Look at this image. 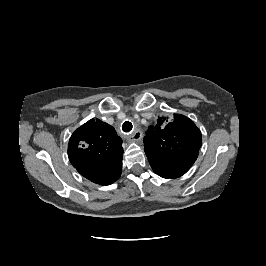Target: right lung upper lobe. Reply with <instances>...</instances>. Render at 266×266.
Returning <instances> with one entry per match:
<instances>
[{"instance_id": "obj_1", "label": "right lung upper lobe", "mask_w": 266, "mask_h": 266, "mask_svg": "<svg viewBox=\"0 0 266 266\" xmlns=\"http://www.w3.org/2000/svg\"><path fill=\"white\" fill-rule=\"evenodd\" d=\"M68 157L83 177L96 184L109 185L121 175L122 139L111 125L91 119L72 134Z\"/></svg>"}]
</instances>
